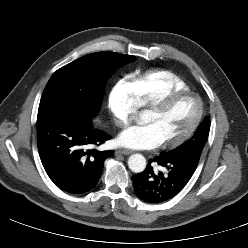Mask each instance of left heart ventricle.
Wrapping results in <instances>:
<instances>
[{"instance_id":"obj_1","label":"left heart ventricle","mask_w":248,"mask_h":248,"mask_svg":"<svg viewBox=\"0 0 248 248\" xmlns=\"http://www.w3.org/2000/svg\"><path fill=\"white\" fill-rule=\"evenodd\" d=\"M198 111L193 97H183L174 101L162 111H146L143 122L154 126L161 142L175 139L192 124Z\"/></svg>"}]
</instances>
